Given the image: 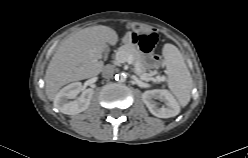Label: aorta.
Wrapping results in <instances>:
<instances>
[{
  "label": "aorta",
  "mask_w": 248,
  "mask_h": 158,
  "mask_svg": "<svg viewBox=\"0 0 248 158\" xmlns=\"http://www.w3.org/2000/svg\"><path fill=\"white\" fill-rule=\"evenodd\" d=\"M116 80L124 81L125 80V75L121 74L120 78H119V75H117Z\"/></svg>",
  "instance_id": "obj_1"
}]
</instances>
